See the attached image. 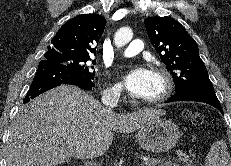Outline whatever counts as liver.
<instances>
[{"mask_svg":"<svg viewBox=\"0 0 231 166\" xmlns=\"http://www.w3.org/2000/svg\"><path fill=\"white\" fill-rule=\"evenodd\" d=\"M146 108L117 114L76 86L61 85L31 100L10 126L7 166H55L103 155L112 131L132 133L165 115Z\"/></svg>","mask_w":231,"mask_h":166,"instance_id":"6515ba94","label":"liver"}]
</instances>
